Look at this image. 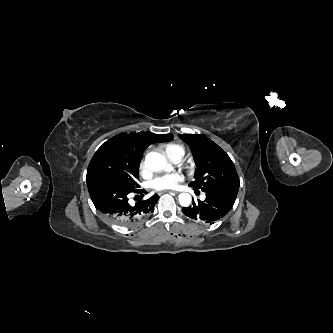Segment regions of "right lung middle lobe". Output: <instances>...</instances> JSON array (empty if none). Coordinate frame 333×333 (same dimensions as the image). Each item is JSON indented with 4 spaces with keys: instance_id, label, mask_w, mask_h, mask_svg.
I'll use <instances>...</instances> for the list:
<instances>
[{
    "instance_id": "right-lung-middle-lobe-1",
    "label": "right lung middle lobe",
    "mask_w": 333,
    "mask_h": 333,
    "mask_svg": "<svg viewBox=\"0 0 333 333\" xmlns=\"http://www.w3.org/2000/svg\"><path fill=\"white\" fill-rule=\"evenodd\" d=\"M139 162L134 160L123 145L106 141L92 157L87 169L86 181L105 178L128 188L139 187Z\"/></svg>"
}]
</instances>
